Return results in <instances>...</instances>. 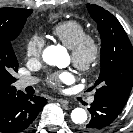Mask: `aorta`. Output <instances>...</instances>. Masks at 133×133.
I'll list each match as a JSON object with an SVG mask.
<instances>
[{
	"label": "aorta",
	"instance_id": "1",
	"mask_svg": "<svg viewBox=\"0 0 133 133\" xmlns=\"http://www.w3.org/2000/svg\"><path fill=\"white\" fill-rule=\"evenodd\" d=\"M43 60L49 65L64 68L68 64V55L63 47L51 45L44 50ZM87 118V112L83 108H75L71 112V120L75 124H84Z\"/></svg>",
	"mask_w": 133,
	"mask_h": 133
}]
</instances>
